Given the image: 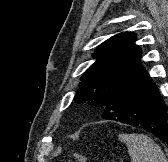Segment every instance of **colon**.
Here are the masks:
<instances>
[{"instance_id":"5ec220e1","label":"colon","mask_w":168,"mask_h":162,"mask_svg":"<svg viewBox=\"0 0 168 162\" xmlns=\"http://www.w3.org/2000/svg\"><path fill=\"white\" fill-rule=\"evenodd\" d=\"M72 162H87V157L83 154L75 153Z\"/></svg>"}]
</instances>
